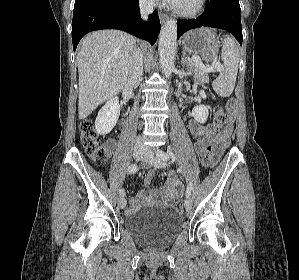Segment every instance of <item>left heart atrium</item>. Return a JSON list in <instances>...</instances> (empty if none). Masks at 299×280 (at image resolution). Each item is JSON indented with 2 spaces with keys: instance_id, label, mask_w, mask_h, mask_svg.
<instances>
[{
  "instance_id": "1",
  "label": "left heart atrium",
  "mask_w": 299,
  "mask_h": 280,
  "mask_svg": "<svg viewBox=\"0 0 299 280\" xmlns=\"http://www.w3.org/2000/svg\"><path fill=\"white\" fill-rule=\"evenodd\" d=\"M165 1L170 4H176L178 2V0H165Z\"/></svg>"
}]
</instances>
